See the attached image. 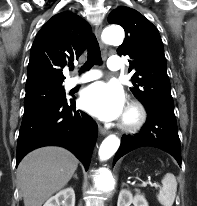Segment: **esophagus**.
Wrapping results in <instances>:
<instances>
[{
	"instance_id": "1",
	"label": "esophagus",
	"mask_w": 197,
	"mask_h": 206,
	"mask_svg": "<svg viewBox=\"0 0 197 206\" xmlns=\"http://www.w3.org/2000/svg\"><path fill=\"white\" fill-rule=\"evenodd\" d=\"M101 32H102V24L98 23L95 27L94 33L96 35V37L98 38V40L101 43V46H103L102 40H101ZM99 131L102 135H107L109 133V130L104 128L103 126H99Z\"/></svg>"
}]
</instances>
